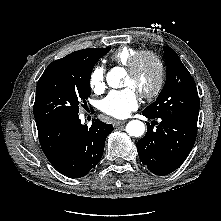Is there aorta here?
<instances>
[{
  "instance_id": "1",
  "label": "aorta",
  "mask_w": 221,
  "mask_h": 221,
  "mask_svg": "<svg viewBox=\"0 0 221 221\" xmlns=\"http://www.w3.org/2000/svg\"><path fill=\"white\" fill-rule=\"evenodd\" d=\"M107 83L112 88H118L121 84V69L113 68L106 77ZM126 132L134 137H140L145 132V125L139 120H131L126 125Z\"/></svg>"
}]
</instances>
